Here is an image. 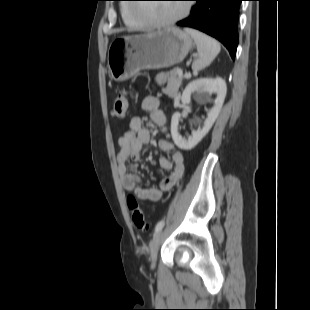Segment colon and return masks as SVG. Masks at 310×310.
<instances>
[{"label":"colon","instance_id":"obj_1","mask_svg":"<svg viewBox=\"0 0 310 310\" xmlns=\"http://www.w3.org/2000/svg\"><path fill=\"white\" fill-rule=\"evenodd\" d=\"M128 107L127 93L123 90L118 91L113 102L112 115L117 118H124L128 113ZM127 205L134 226L139 230L146 231L148 229V224L134 195H129L127 197Z\"/></svg>","mask_w":310,"mask_h":310}]
</instances>
